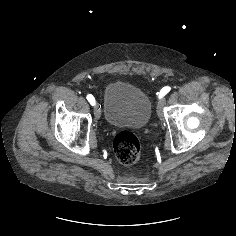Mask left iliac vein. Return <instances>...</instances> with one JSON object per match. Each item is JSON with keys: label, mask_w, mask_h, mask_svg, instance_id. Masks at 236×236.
<instances>
[{"label": "left iliac vein", "mask_w": 236, "mask_h": 236, "mask_svg": "<svg viewBox=\"0 0 236 236\" xmlns=\"http://www.w3.org/2000/svg\"><path fill=\"white\" fill-rule=\"evenodd\" d=\"M164 104H165V99L163 98L158 102V106H157V114L161 119H163L162 107Z\"/></svg>", "instance_id": "4c4485c4"}]
</instances>
